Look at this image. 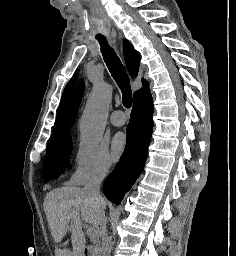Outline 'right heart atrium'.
<instances>
[{"instance_id": "obj_1", "label": "right heart atrium", "mask_w": 236, "mask_h": 256, "mask_svg": "<svg viewBox=\"0 0 236 256\" xmlns=\"http://www.w3.org/2000/svg\"><path fill=\"white\" fill-rule=\"evenodd\" d=\"M111 160L103 146L86 147L79 144L72 159L68 183L82 186L104 180L111 170Z\"/></svg>"}]
</instances>
